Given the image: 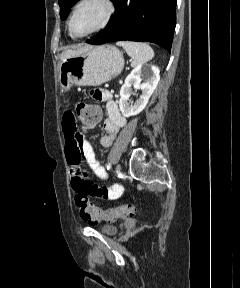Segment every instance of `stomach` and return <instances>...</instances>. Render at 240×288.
I'll list each match as a JSON object with an SVG mask.
<instances>
[{"label":"stomach","instance_id":"1","mask_svg":"<svg viewBox=\"0 0 240 288\" xmlns=\"http://www.w3.org/2000/svg\"><path fill=\"white\" fill-rule=\"evenodd\" d=\"M124 67L122 52L113 45L88 46L62 60L59 84L62 91L72 86H99L117 77Z\"/></svg>","mask_w":240,"mask_h":288}]
</instances>
